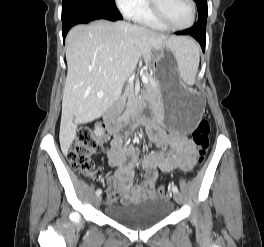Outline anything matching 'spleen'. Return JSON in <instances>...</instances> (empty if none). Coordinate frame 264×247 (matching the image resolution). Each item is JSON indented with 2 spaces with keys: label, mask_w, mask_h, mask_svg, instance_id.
Here are the masks:
<instances>
[{
  "label": "spleen",
  "mask_w": 264,
  "mask_h": 247,
  "mask_svg": "<svg viewBox=\"0 0 264 247\" xmlns=\"http://www.w3.org/2000/svg\"><path fill=\"white\" fill-rule=\"evenodd\" d=\"M181 78L187 85L195 83L199 67L200 51L198 45L190 39L179 37L172 47Z\"/></svg>",
  "instance_id": "spleen-1"
}]
</instances>
